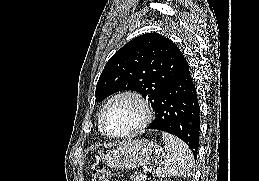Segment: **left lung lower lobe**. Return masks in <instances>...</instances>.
<instances>
[{
    "mask_svg": "<svg viewBox=\"0 0 259 181\" xmlns=\"http://www.w3.org/2000/svg\"><path fill=\"white\" fill-rule=\"evenodd\" d=\"M179 72L159 98L155 119L147 129L171 133L183 140L197 157L200 109L189 66L181 53Z\"/></svg>",
    "mask_w": 259,
    "mask_h": 181,
    "instance_id": "obj_1",
    "label": "left lung lower lobe"
}]
</instances>
